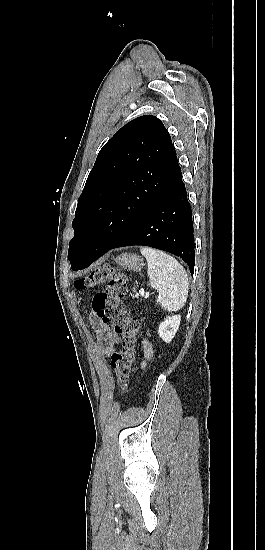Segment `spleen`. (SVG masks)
<instances>
[{
    "label": "spleen",
    "mask_w": 265,
    "mask_h": 550,
    "mask_svg": "<svg viewBox=\"0 0 265 550\" xmlns=\"http://www.w3.org/2000/svg\"><path fill=\"white\" fill-rule=\"evenodd\" d=\"M141 254L148 263L150 285L159 292L157 303L168 311L181 309L189 289L183 266L171 255L157 249L142 247Z\"/></svg>",
    "instance_id": "obj_1"
}]
</instances>
